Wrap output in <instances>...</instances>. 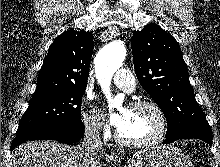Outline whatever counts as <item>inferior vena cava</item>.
Returning <instances> with one entry per match:
<instances>
[{
    "label": "inferior vena cava",
    "instance_id": "1",
    "mask_svg": "<svg viewBox=\"0 0 220 167\" xmlns=\"http://www.w3.org/2000/svg\"><path fill=\"white\" fill-rule=\"evenodd\" d=\"M100 123H94L85 127V133L81 148L89 155L103 152V144L100 140Z\"/></svg>",
    "mask_w": 220,
    "mask_h": 167
}]
</instances>
